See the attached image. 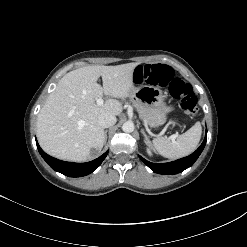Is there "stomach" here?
<instances>
[{
  "label": "stomach",
  "mask_w": 247,
  "mask_h": 247,
  "mask_svg": "<svg viewBox=\"0 0 247 247\" xmlns=\"http://www.w3.org/2000/svg\"><path fill=\"white\" fill-rule=\"evenodd\" d=\"M131 96L135 97L146 106L160 108L164 112H170L173 110V107L166 105V94L159 87L150 85L134 87Z\"/></svg>",
  "instance_id": "stomach-1"
}]
</instances>
